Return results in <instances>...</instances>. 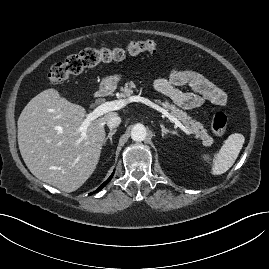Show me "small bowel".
I'll return each instance as SVG.
<instances>
[{
  "instance_id": "small-bowel-1",
  "label": "small bowel",
  "mask_w": 269,
  "mask_h": 269,
  "mask_svg": "<svg viewBox=\"0 0 269 269\" xmlns=\"http://www.w3.org/2000/svg\"><path fill=\"white\" fill-rule=\"evenodd\" d=\"M188 86L191 92H183L179 87ZM157 92L170 98L179 107L192 110L201 107L205 100L216 106H226V93L209 79L192 69H174L168 78L154 81Z\"/></svg>"
}]
</instances>
